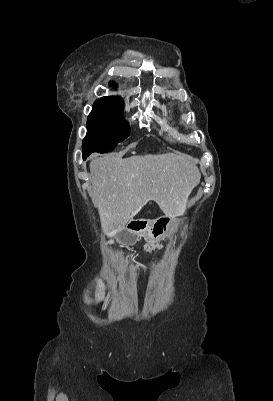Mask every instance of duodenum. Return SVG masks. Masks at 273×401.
I'll return each mask as SVG.
<instances>
[{
	"label": "duodenum",
	"instance_id": "obj_1",
	"mask_svg": "<svg viewBox=\"0 0 273 401\" xmlns=\"http://www.w3.org/2000/svg\"><path fill=\"white\" fill-rule=\"evenodd\" d=\"M146 228V221L137 219L133 220L129 225H128V231L130 233L136 234L139 232L144 231Z\"/></svg>",
	"mask_w": 273,
	"mask_h": 401
}]
</instances>
